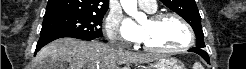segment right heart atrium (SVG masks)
<instances>
[{
	"label": "right heart atrium",
	"instance_id": "obj_1",
	"mask_svg": "<svg viewBox=\"0 0 246 69\" xmlns=\"http://www.w3.org/2000/svg\"><path fill=\"white\" fill-rule=\"evenodd\" d=\"M121 18L119 15H110L106 22L107 36L112 41L121 40V34L119 30Z\"/></svg>",
	"mask_w": 246,
	"mask_h": 69
}]
</instances>
